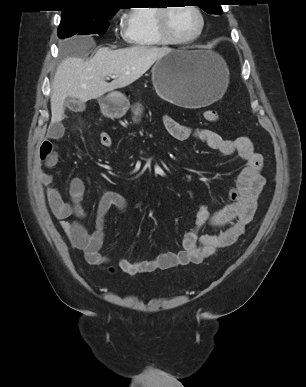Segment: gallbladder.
<instances>
[{
  "label": "gallbladder",
  "mask_w": 306,
  "mask_h": 387,
  "mask_svg": "<svg viewBox=\"0 0 306 387\" xmlns=\"http://www.w3.org/2000/svg\"><path fill=\"white\" fill-rule=\"evenodd\" d=\"M77 104H78V101L71 97L66 98V100L64 101V105L71 110H76Z\"/></svg>",
  "instance_id": "1"
}]
</instances>
